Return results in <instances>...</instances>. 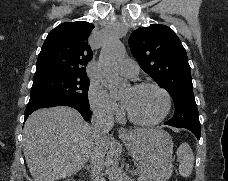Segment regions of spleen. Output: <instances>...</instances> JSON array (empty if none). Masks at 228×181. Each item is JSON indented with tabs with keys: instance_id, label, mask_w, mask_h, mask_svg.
I'll return each instance as SVG.
<instances>
[{
	"instance_id": "obj_1",
	"label": "spleen",
	"mask_w": 228,
	"mask_h": 181,
	"mask_svg": "<svg viewBox=\"0 0 228 181\" xmlns=\"http://www.w3.org/2000/svg\"><path fill=\"white\" fill-rule=\"evenodd\" d=\"M177 157L181 177H190L194 167V155L188 143H182L180 145L179 149H177Z\"/></svg>"
}]
</instances>
